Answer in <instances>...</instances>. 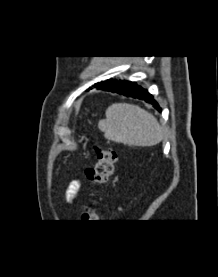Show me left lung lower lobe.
<instances>
[{
	"label": "left lung lower lobe",
	"instance_id": "0a47b994",
	"mask_svg": "<svg viewBox=\"0 0 218 277\" xmlns=\"http://www.w3.org/2000/svg\"><path fill=\"white\" fill-rule=\"evenodd\" d=\"M98 89H102L104 91H110L113 93H118L124 96H130L133 98L142 99L146 102H149L155 106H158V103L153 99V96L148 93L147 90L138 86L134 82L130 81H112L109 80L107 82H103L97 85ZM158 111H161L160 107H157Z\"/></svg>",
	"mask_w": 218,
	"mask_h": 277
}]
</instances>
